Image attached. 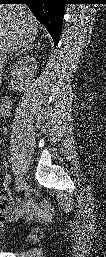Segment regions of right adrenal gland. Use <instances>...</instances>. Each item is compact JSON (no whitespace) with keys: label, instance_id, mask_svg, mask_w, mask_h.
Returning <instances> with one entry per match:
<instances>
[{"label":"right adrenal gland","instance_id":"right-adrenal-gland-1","mask_svg":"<svg viewBox=\"0 0 106 257\" xmlns=\"http://www.w3.org/2000/svg\"><path fill=\"white\" fill-rule=\"evenodd\" d=\"M39 46H40V43H39V42L26 44L22 49H20V50L15 54L14 57H18V56L21 55L22 53L33 49V47H39ZM12 59H13V58H12Z\"/></svg>","mask_w":106,"mask_h":257}]
</instances>
